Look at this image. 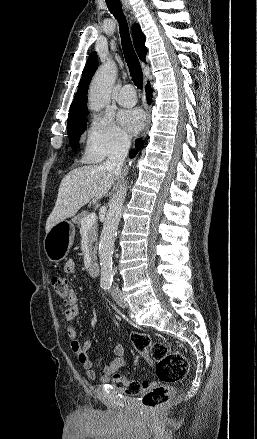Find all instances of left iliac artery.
I'll return each instance as SVG.
<instances>
[{
	"label": "left iliac artery",
	"mask_w": 257,
	"mask_h": 439,
	"mask_svg": "<svg viewBox=\"0 0 257 439\" xmlns=\"http://www.w3.org/2000/svg\"><path fill=\"white\" fill-rule=\"evenodd\" d=\"M111 284H107L106 287L107 289H110Z\"/></svg>",
	"instance_id": "1"
}]
</instances>
